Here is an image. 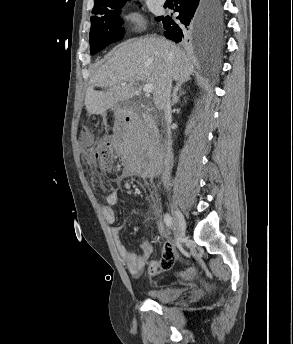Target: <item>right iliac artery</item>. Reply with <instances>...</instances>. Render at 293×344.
<instances>
[{"mask_svg": "<svg viewBox=\"0 0 293 344\" xmlns=\"http://www.w3.org/2000/svg\"><path fill=\"white\" fill-rule=\"evenodd\" d=\"M164 222L168 228L171 229L173 227V219L170 214L166 213L164 215Z\"/></svg>", "mask_w": 293, "mask_h": 344, "instance_id": "82829eb1", "label": "right iliac artery"}]
</instances>
